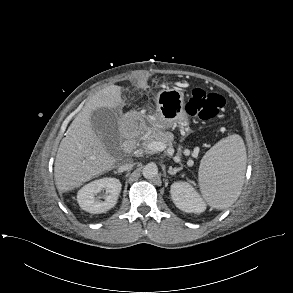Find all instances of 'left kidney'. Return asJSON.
Returning a JSON list of instances; mask_svg holds the SVG:
<instances>
[{
	"mask_svg": "<svg viewBox=\"0 0 293 293\" xmlns=\"http://www.w3.org/2000/svg\"><path fill=\"white\" fill-rule=\"evenodd\" d=\"M170 193L175 206L186 213L199 214L206 209V203L188 182H174Z\"/></svg>",
	"mask_w": 293,
	"mask_h": 293,
	"instance_id": "1",
	"label": "left kidney"
}]
</instances>
